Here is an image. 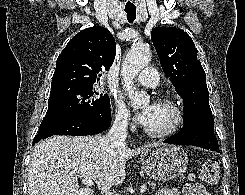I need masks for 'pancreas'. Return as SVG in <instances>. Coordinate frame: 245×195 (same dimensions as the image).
Returning <instances> with one entry per match:
<instances>
[{
	"label": "pancreas",
	"instance_id": "cf45deb5",
	"mask_svg": "<svg viewBox=\"0 0 245 195\" xmlns=\"http://www.w3.org/2000/svg\"><path fill=\"white\" fill-rule=\"evenodd\" d=\"M149 184L151 185V188H152V189H154V188H155V186H156V184H155V183H153V182H152V183H149Z\"/></svg>",
	"mask_w": 245,
	"mask_h": 195
}]
</instances>
